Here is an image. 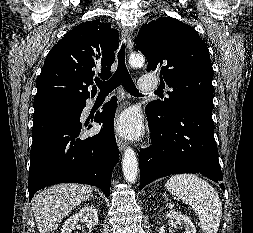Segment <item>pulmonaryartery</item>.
I'll return each instance as SVG.
<instances>
[{"label": "pulmonary artery", "instance_id": "obj_1", "mask_svg": "<svg viewBox=\"0 0 253 233\" xmlns=\"http://www.w3.org/2000/svg\"><path fill=\"white\" fill-rule=\"evenodd\" d=\"M141 91L146 93L154 92L158 87V82L153 77H141L138 82Z\"/></svg>", "mask_w": 253, "mask_h": 233}]
</instances>
